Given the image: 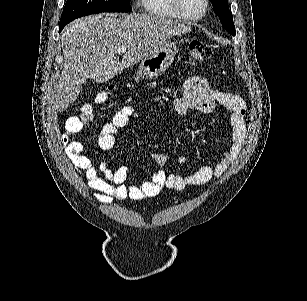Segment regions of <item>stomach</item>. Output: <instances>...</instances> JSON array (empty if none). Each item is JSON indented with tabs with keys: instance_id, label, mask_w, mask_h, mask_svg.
<instances>
[{
	"instance_id": "obj_1",
	"label": "stomach",
	"mask_w": 307,
	"mask_h": 301,
	"mask_svg": "<svg viewBox=\"0 0 307 301\" xmlns=\"http://www.w3.org/2000/svg\"><path fill=\"white\" fill-rule=\"evenodd\" d=\"M177 52L178 46L176 42L165 40L154 52H150L148 56L142 58L135 80H139V78H158L172 64Z\"/></svg>"
}]
</instances>
